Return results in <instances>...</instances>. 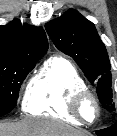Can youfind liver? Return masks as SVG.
Segmentation results:
<instances>
[{
  "instance_id": "1",
  "label": "liver",
  "mask_w": 117,
  "mask_h": 136,
  "mask_svg": "<svg viewBox=\"0 0 117 136\" xmlns=\"http://www.w3.org/2000/svg\"><path fill=\"white\" fill-rule=\"evenodd\" d=\"M0 136H91L59 121L24 119L17 123H0Z\"/></svg>"
}]
</instances>
